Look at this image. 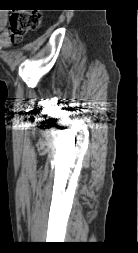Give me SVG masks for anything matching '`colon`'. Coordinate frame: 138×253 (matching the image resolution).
Listing matches in <instances>:
<instances>
[{
    "instance_id": "obj_1",
    "label": "colon",
    "mask_w": 138,
    "mask_h": 253,
    "mask_svg": "<svg viewBox=\"0 0 138 253\" xmlns=\"http://www.w3.org/2000/svg\"><path fill=\"white\" fill-rule=\"evenodd\" d=\"M37 26L36 19L26 12H16L10 17L11 42L19 40L30 29Z\"/></svg>"
}]
</instances>
